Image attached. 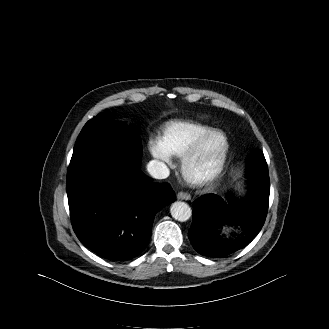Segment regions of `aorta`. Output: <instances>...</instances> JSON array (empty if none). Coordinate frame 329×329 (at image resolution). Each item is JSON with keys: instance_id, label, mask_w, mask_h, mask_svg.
<instances>
[{"instance_id": "aorta-1", "label": "aorta", "mask_w": 329, "mask_h": 329, "mask_svg": "<svg viewBox=\"0 0 329 329\" xmlns=\"http://www.w3.org/2000/svg\"><path fill=\"white\" fill-rule=\"evenodd\" d=\"M170 213L172 217L180 222H185L192 216V210L190 206L181 201H176L171 205Z\"/></svg>"}]
</instances>
